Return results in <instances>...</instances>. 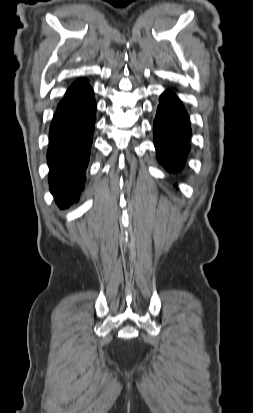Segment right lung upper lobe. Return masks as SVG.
I'll return each mask as SVG.
<instances>
[{
	"instance_id": "cb5924a9",
	"label": "right lung upper lobe",
	"mask_w": 253,
	"mask_h": 413,
	"mask_svg": "<svg viewBox=\"0 0 253 413\" xmlns=\"http://www.w3.org/2000/svg\"><path fill=\"white\" fill-rule=\"evenodd\" d=\"M86 86H88V81L85 80V79H79V80L75 81V82L69 87V89L67 90V92H66V94H65V97L72 95L73 93L79 91L80 89H82V88H84V87H86Z\"/></svg>"
}]
</instances>
